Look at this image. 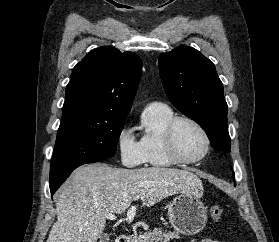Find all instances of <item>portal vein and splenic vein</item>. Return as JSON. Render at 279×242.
Listing matches in <instances>:
<instances>
[{
    "instance_id": "portal-vein-and-splenic-vein-1",
    "label": "portal vein and splenic vein",
    "mask_w": 279,
    "mask_h": 242,
    "mask_svg": "<svg viewBox=\"0 0 279 242\" xmlns=\"http://www.w3.org/2000/svg\"><path fill=\"white\" fill-rule=\"evenodd\" d=\"M136 213V207L135 206H132L128 212H127V217H126V221L128 223H131L133 218H134V215ZM105 217L109 220H116L117 219V216L113 213H109V214H105Z\"/></svg>"
}]
</instances>
